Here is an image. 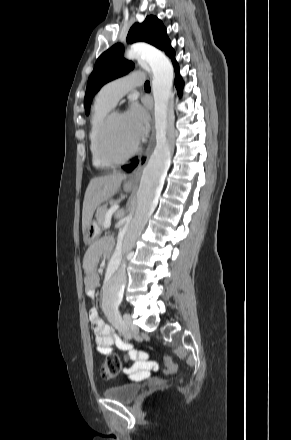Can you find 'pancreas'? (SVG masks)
<instances>
[{
  "label": "pancreas",
  "mask_w": 291,
  "mask_h": 440,
  "mask_svg": "<svg viewBox=\"0 0 291 440\" xmlns=\"http://www.w3.org/2000/svg\"><path fill=\"white\" fill-rule=\"evenodd\" d=\"M107 213V205H103L97 209L96 218L99 226H104V221Z\"/></svg>",
  "instance_id": "1"
}]
</instances>
